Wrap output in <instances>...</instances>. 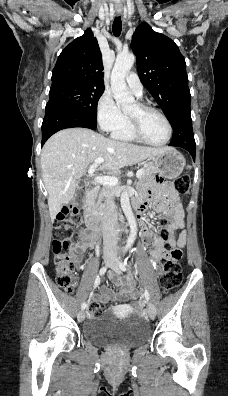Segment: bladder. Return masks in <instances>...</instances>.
<instances>
[{
  "instance_id": "bladder-1",
  "label": "bladder",
  "mask_w": 228,
  "mask_h": 396,
  "mask_svg": "<svg viewBox=\"0 0 228 396\" xmlns=\"http://www.w3.org/2000/svg\"><path fill=\"white\" fill-rule=\"evenodd\" d=\"M149 330L138 317L119 319L112 315L91 317L83 326L82 336L94 345L129 348L147 340Z\"/></svg>"
}]
</instances>
